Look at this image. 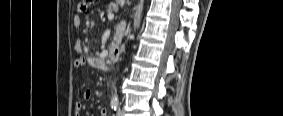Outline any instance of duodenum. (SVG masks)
Here are the masks:
<instances>
[{
    "label": "duodenum",
    "instance_id": "obj_1",
    "mask_svg": "<svg viewBox=\"0 0 283 116\" xmlns=\"http://www.w3.org/2000/svg\"><path fill=\"white\" fill-rule=\"evenodd\" d=\"M120 57V49L118 47H112L109 52V59L112 62H116Z\"/></svg>",
    "mask_w": 283,
    "mask_h": 116
}]
</instances>
